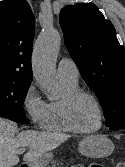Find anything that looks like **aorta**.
I'll return each instance as SVG.
<instances>
[{"label": "aorta", "instance_id": "obj_1", "mask_svg": "<svg viewBox=\"0 0 125 167\" xmlns=\"http://www.w3.org/2000/svg\"><path fill=\"white\" fill-rule=\"evenodd\" d=\"M61 37L54 29L45 30L38 37L32 56L33 75L47 98L55 99V57Z\"/></svg>", "mask_w": 125, "mask_h": 167}]
</instances>
